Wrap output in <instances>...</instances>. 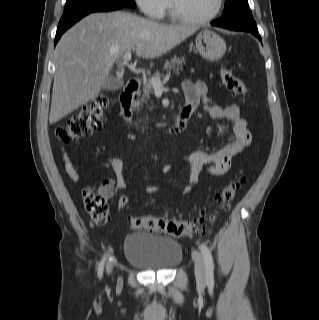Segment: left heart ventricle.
I'll return each mask as SVG.
<instances>
[{"mask_svg": "<svg viewBox=\"0 0 319 320\" xmlns=\"http://www.w3.org/2000/svg\"><path fill=\"white\" fill-rule=\"evenodd\" d=\"M178 10L189 17L202 18L216 8L217 0H175Z\"/></svg>", "mask_w": 319, "mask_h": 320, "instance_id": "obj_1", "label": "left heart ventricle"}]
</instances>
